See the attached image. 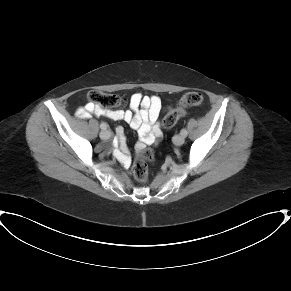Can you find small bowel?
Instances as JSON below:
<instances>
[{
	"mask_svg": "<svg viewBox=\"0 0 291 291\" xmlns=\"http://www.w3.org/2000/svg\"><path fill=\"white\" fill-rule=\"evenodd\" d=\"M162 109V103L157 96H143L141 93H135L130 98V109L127 110H100L91 104H86L77 109L76 115L81 118H87L94 114L97 116H107L111 120H122L130 125L131 128L138 131L140 142L136 144L137 149L154 142V139L161 135V127L158 122ZM118 133H122V128H118ZM120 146L121 151L116 152L119 160L126 168L130 166V152L123 138L114 145Z\"/></svg>",
	"mask_w": 291,
	"mask_h": 291,
	"instance_id": "small-bowel-1",
	"label": "small bowel"
}]
</instances>
